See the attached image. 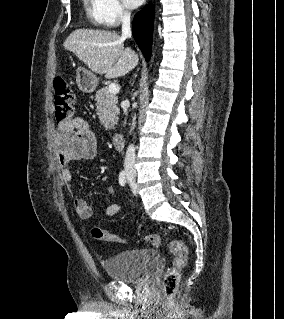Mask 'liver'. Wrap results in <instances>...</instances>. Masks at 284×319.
Returning <instances> with one entry per match:
<instances>
[{
    "mask_svg": "<svg viewBox=\"0 0 284 319\" xmlns=\"http://www.w3.org/2000/svg\"><path fill=\"white\" fill-rule=\"evenodd\" d=\"M63 46L91 71L105 74L108 79L127 74L138 63L136 53L129 48L124 49V39L111 31L76 29Z\"/></svg>",
    "mask_w": 284,
    "mask_h": 319,
    "instance_id": "obj_1",
    "label": "liver"
}]
</instances>
